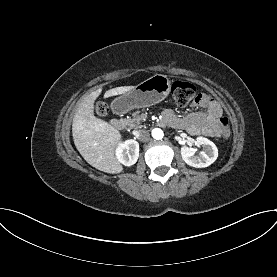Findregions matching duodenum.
Instances as JSON below:
<instances>
[{
    "mask_svg": "<svg viewBox=\"0 0 277 277\" xmlns=\"http://www.w3.org/2000/svg\"><path fill=\"white\" fill-rule=\"evenodd\" d=\"M116 111L118 113H121L122 109L121 108H116ZM110 123H111V126L115 129H121L124 126V122L121 119H113V120H111Z\"/></svg>",
    "mask_w": 277,
    "mask_h": 277,
    "instance_id": "410a0bca",
    "label": "duodenum"
}]
</instances>
